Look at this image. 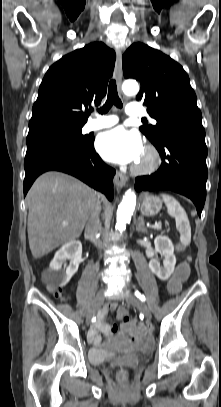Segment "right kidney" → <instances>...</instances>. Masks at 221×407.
Wrapping results in <instances>:
<instances>
[{"label":"right kidney","mask_w":221,"mask_h":407,"mask_svg":"<svg viewBox=\"0 0 221 407\" xmlns=\"http://www.w3.org/2000/svg\"><path fill=\"white\" fill-rule=\"evenodd\" d=\"M69 260L70 264L66 270H62V265ZM82 260V244L80 241H70L64 244L56 253L50 262L49 279L52 284L64 287L77 272Z\"/></svg>","instance_id":"obj_1"}]
</instances>
